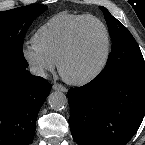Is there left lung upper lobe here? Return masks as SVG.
<instances>
[{
	"label": "left lung upper lobe",
	"instance_id": "left-lung-upper-lobe-1",
	"mask_svg": "<svg viewBox=\"0 0 145 145\" xmlns=\"http://www.w3.org/2000/svg\"><path fill=\"white\" fill-rule=\"evenodd\" d=\"M100 9L104 13L113 44L107 64L96 79L103 81L118 74L145 70L144 58L132 34L106 8Z\"/></svg>",
	"mask_w": 145,
	"mask_h": 145
}]
</instances>
